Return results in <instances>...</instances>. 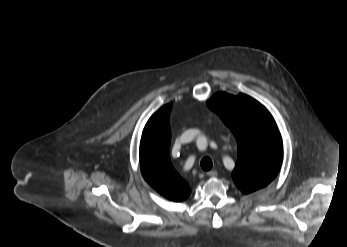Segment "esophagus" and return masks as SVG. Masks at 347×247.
Instances as JSON below:
<instances>
[{
    "instance_id": "34e87169",
    "label": "esophagus",
    "mask_w": 347,
    "mask_h": 247,
    "mask_svg": "<svg viewBox=\"0 0 347 247\" xmlns=\"http://www.w3.org/2000/svg\"><path fill=\"white\" fill-rule=\"evenodd\" d=\"M209 177H215L217 176V171L216 170H211L206 173Z\"/></svg>"
}]
</instances>
